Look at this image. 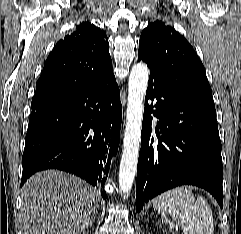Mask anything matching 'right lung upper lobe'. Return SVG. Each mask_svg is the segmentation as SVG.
<instances>
[{"mask_svg": "<svg viewBox=\"0 0 241 234\" xmlns=\"http://www.w3.org/2000/svg\"><path fill=\"white\" fill-rule=\"evenodd\" d=\"M112 74L106 33L83 22L72 34L60 40L50 53L32 101L87 88Z\"/></svg>", "mask_w": 241, "mask_h": 234, "instance_id": "obj_1", "label": "right lung upper lobe"}]
</instances>
